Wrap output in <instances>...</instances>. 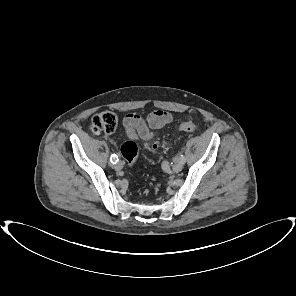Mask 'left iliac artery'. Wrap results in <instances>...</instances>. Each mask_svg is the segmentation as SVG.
<instances>
[{"mask_svg": "<svg viewBox=\"0 0 296 296\" xmlns=\"http://www.w3.org/2000/svg\"><path fill=\"white\" fill-rule=\"evenodd\" d=\"M178 160H180L183 164L185 163V157L183 154H181L178 158Z\"/></svg>", "mask_w": 296, "mask_h": 296, "instance_id": "1", "label": "left iliac artery"}]
</instances>
